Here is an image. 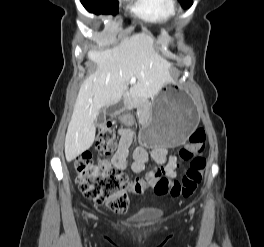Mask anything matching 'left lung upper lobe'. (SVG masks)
I'll use <instances>...</instances> for the list:
<instances>
[{"label": "left lung upper lobe", "mask_w": 264, "mask_h": 247, "mask_svg": "<svg viewBox=\"0 0 264 247\" xmlns=\"http://www.w3.org/2000/svg\"><path fill=\"white\" fill-rule=\"evenodd\" d=\"M183 8H189L193 4L192 0H179Z\"/></svg>", "instance_id": "left-lung-upper-lobe-1"}]
</instances>
